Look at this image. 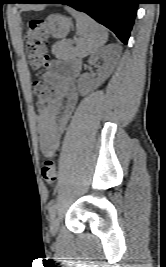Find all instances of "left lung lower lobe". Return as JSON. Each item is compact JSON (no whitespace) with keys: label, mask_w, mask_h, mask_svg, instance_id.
<instances>
[{"label":"left lung lower lobe","mask_w":166,"mask_h":267,"mask_svg":"<svg viewBox=\"0 0 166 267\" xmlns=\"http://www.w3.org/2000/svg\"><path fill=\"white\" fill-rule=\"evenodd\" d=\"M23 3H63L90 15L127 44L139 0H25Z\"/></svg>","instance_id":"left-lung-lower-lobe-1"}]
</instances>
